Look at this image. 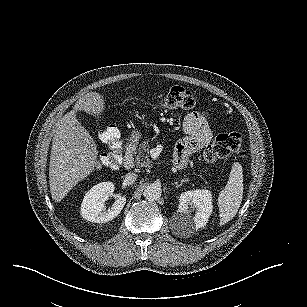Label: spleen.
Segmentation results:
<instances>
[{
  "label": "spleen",
  "instance_id": "3e777b00",
  "mask_svg": "<svg viewBox=\"0 0 307 307\" xmlns=\"http://www.w3.org/2000/svg\"><path fill=\"white\" fill-rule=\"evenodd\" d=\"M243 169L234 162L225 188L218 196L220 226L231 221L238 212L243 199Z\"/></svg>",
  "mask_w": 307,
  "mask_h": 307
}]
</instances>
